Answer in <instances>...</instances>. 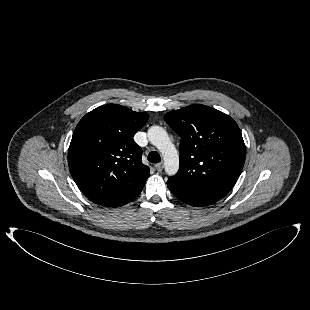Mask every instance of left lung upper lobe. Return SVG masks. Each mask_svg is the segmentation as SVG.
I'll list each match as a JSON object with an SVG mask.
<instances>
[{
  "instance_id": "left-lung-upper-lobe-1",
  "label": "left lung upper lobe",
  "mask_w": 310,
  "mask_h": 310,
  "mask_svg": "<svg viewBox=\"0 0 310 310\" xmlns=\"http://www.w3.org/2000/svg\"><path fill=\"white\" fill-rule=\"evenodd\" d=\"M181 138L180 167L168 181L197 194L223 198L243 169L246 148L236 122L205 105H191L165 114Z\"/></svg>"
}]
</instances>
